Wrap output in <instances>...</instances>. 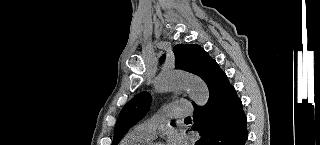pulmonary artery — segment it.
<instances>
[{
  "label": "pulmonary artery",
  "mask_w": 320,
  "mask_h": 145,
  "mask_svg": "<svg viewBox=\"0 0 320 145\" xmlns=\"http://www.w3.org/2000/svg\"><path fill=\"white\" fill-rule=\"evenodd\" d=\"M192 113V110L187 107L186 101H176L163 106L154 116L138 124L134 130L153 139L156 136V131L170 117H184Z\"/></svg>",
  "instance_id": "obj_1"
}]
</instances>
